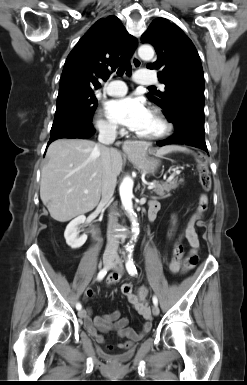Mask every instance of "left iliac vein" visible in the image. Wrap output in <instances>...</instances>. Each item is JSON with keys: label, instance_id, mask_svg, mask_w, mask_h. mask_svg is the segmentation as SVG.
<instances>
[{"label": "left iliac vein", "instance_id": "1", "mask_svg": "<svg viewBox=\"0 0 247 385\" xmlns=\"http://www.w3.org/2000/svg\"><path fill=\"white\" fill-rule=\"evenodd\" d=\"M112 268L114 270H120L122 268V259L120 257L117 256L115 258V263L112 265ZM159 312H160L159 307L157 305H154L152 307L153 315L157 316V315H159Z\"/></svg>", "mask_w": 247, "mask_h": 385}]
</instances>
